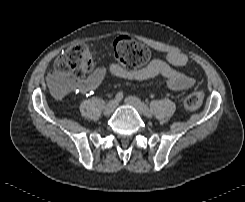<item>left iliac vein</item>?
I'll return each instance as SVG.
<instances>
[{
	"instance_id": "1",
	"label": "left iliac vein",
	"mask_w": 245,
	"mask_h": 202,
	"mask_svg": "<svg viewBox=\"0 0 245 202\" xmlns=\"http://www.w3.org/2000/svg\"><path fill=\"white\" fill-rule=\"evenodd\" d=\"M126 104L133 106L140 115H144L142 102L135 96H128L125 99Z\"/></svg>"
}]
</instances>
